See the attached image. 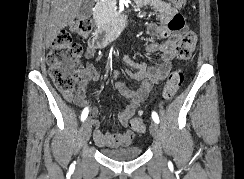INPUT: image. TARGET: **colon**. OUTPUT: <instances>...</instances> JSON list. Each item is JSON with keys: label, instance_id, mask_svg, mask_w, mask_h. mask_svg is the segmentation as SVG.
I'll use <instances>...</instances> for the list:
<instances>
[{"label": "colon", "instance_id": "obj_1", "mask_svg": "<svg viewBox=\"0 0 244 179\" xmlns=\"http://www.w3.org/2000/svg\"><path fill=\"white\" fill-rule=\"evenodd\" d=\"M184 0H171V3H179L183 6ZM93 22L89 19H81L70 25V31H62L54 40L48 53L49 74L58 91L66 94L74 92L77 85V72L81 68L80 56L82 48L71 41V34L78 33L82 36L89 35L93 30ZM198 43L197 34L189 31L179 39L176 54L180 60L191 58ZM184 74L180 69L173 70L163 90V100H171L181 87ZM132 130L144 132V121L140 117L131 120Z\"/></svg>", "mask_w": 244, "mask_h": 179}]
</instances>
